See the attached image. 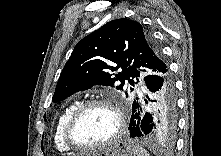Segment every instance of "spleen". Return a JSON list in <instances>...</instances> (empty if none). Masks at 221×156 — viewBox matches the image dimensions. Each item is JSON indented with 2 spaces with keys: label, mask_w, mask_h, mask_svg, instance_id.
Segmentation results:
<instances>
[{
  "label": "spleen",
  "mask_w": 221,
  "mask_h": 156,
  "mask_svg": "<svg viewBox=\"0 0 221 156\" xmlns=\"http://www.w3.org/2000/svg\"><path fill=\"white\" fill-rule=\"evenodd\" d=\"M133 148L135 150L136 156H149V153L145 149H143L139 146H133Z\"/></svg>",
  "instance_id": "obj_1"
}]
</instances>
